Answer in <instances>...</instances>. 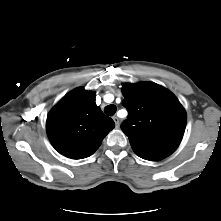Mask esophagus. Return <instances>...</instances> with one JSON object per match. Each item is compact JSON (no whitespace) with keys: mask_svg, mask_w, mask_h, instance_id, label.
Returning a JSON list of instances; mask_svg holds the SVG:
<instances>
[{"mask_svg":"<svg viewBox=\"0 0 221 221\" xmlns=\"http://www.w3.org/2000/svg\"><path fill=\"white\" fill-rule=\"evenodd\" d=\"M113 121L115 122V126H116V128H118L119 125H120L119 118H118L117 116H113Z\"/></svg>","mask_w":221,"mask_h":221,"instance_id":"1","label":"esophagus"}]
</instances>
